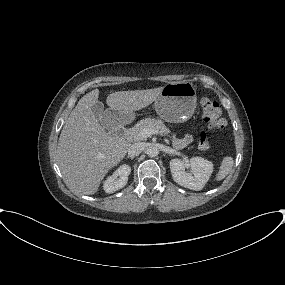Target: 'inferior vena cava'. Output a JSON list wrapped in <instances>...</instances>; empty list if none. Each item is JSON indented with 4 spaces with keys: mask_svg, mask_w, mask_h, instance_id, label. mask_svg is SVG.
Masks as SVG:
<instances>
[{
    "mask_svg": "<svg viewBox=\"0 0 285 285\" xmlns=\"http://www.w3.org/2000/svg\"><path fill=\"white\" fill-rule=\"evenodd\" d=\"M144 150V146L142 143H134L128 148V156L134 158L141 154Z\"/></svg>",
    "mask_w": 285,
    "mask_h": 285,
    "instance_id": "inferior-vena-cava-1",
    "label": "inferior vena cava"
}]
</instances>
